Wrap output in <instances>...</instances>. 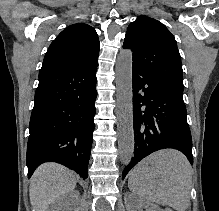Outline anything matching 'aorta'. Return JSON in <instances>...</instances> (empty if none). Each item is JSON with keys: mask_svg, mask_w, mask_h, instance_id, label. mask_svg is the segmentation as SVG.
<instances>
[{"mask_svg": "<svg viewBox=\"0 0 219 211\" xmlns=\"http://www.w3.org/2000/svg\"><path fill=\"white\" fill-rule=\"evenodd\" d=\"M119 158L128 165L134 153L132 52L120 51L115 65Z\"/></svg>", "mask_w": 219, "mask_h": 211, "instance_id": "obj_1", "label": "aorta"}]
</instances>
